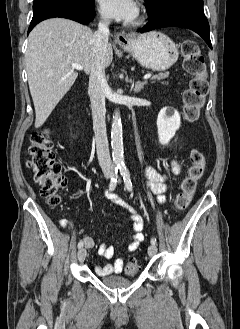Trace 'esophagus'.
<instances>
[{"instance_id":"esophagus-1","label":"esophagus","mask_w":240,"mask_h":329,"mask_svg":"<svg viewBox=\"0 0 240 329\" xmlns=\"http://www.w3.org/2000/svg\"><path fill=\"white\" fill-rule=\"evenodd\" d=\"M115 41L120 47H128L132 42V38L130 34L120 32L115 34Z\"/></svg>"}]
</instances>
